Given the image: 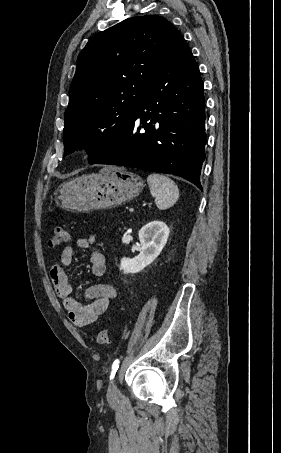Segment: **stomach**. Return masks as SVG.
Instances as JSON below:
<instances>
[{
    "mask_svg": "<svg viewBox=\"0 0 281 453\" xmlns=\"http://www.w3.org/2000/svg\"><path fill=\"white\" fill-rule=\"evenodd\" d=\"M145 186L142 178L120 166H105L100 172L82 174L60 184L56 198L62 208L72 212H90L113 208L138 196Z\"/></svg>",
    "mask_w": 281,
    "mask_h": 453,
    "instance_id": "1",
    "label": "stomach"
}]
</instances>
